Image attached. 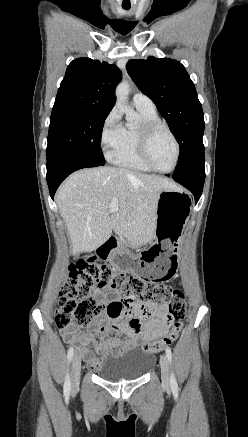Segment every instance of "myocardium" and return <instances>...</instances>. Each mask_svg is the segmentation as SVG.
Here are the masks:
<instances>
[{
    "label": "myocardium",
    "instance_id": "1",
    "mask_svg": "<svg viewBox=\"0 0 248 437\" xmlns=\"http://www.w3.org/2000/svg\"><path fill=\"white\" fill-rule=\"evenodd\" d=\"M160 129L165 130L170 137L172 138L176 153H175V159L172 167L168 170H161L158 169L151 161L150 155H149V145L150 141L153 137V135ZM138 151L139 155L143 161V163L152 171L167 174L174 171L178 165L180 154H181V146L179 143L178 138L176 137L175 133L171 130V128L164 122L160 120L155 121H149L142 123L140 127L138 128Z\"/></svg>",
    "mask_w": 248,
    "mask_h": 437
}]
</instances>
